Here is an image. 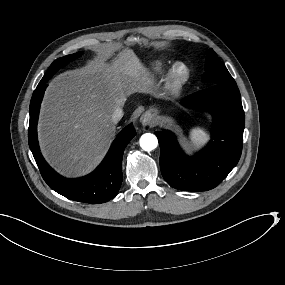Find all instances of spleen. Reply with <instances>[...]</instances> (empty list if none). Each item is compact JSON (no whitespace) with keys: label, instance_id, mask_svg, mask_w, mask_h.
I'll return each instance as SVG.
<instances>
[{"label":"spleen","instance_id":"obj_1","mask_svg":"<svg viewBox=\"0 0 285 285\" xmlns=\"http://www.w3.org/2000/svg\"><path fill=\"white\" fill-rule=\"evenodd\" d=\"M203 138V134L201 132H195L194 133V139L195 140H200Z\"/></svg>","mask_w":285,"mask_h":285}]
</instances>
